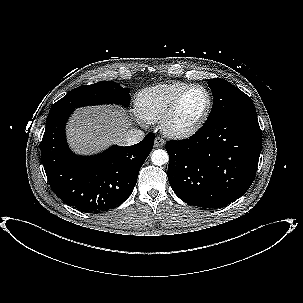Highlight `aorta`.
<instances>
[{
	"label": "aorta",
	"instance_id": "obj_1",
	"mask_svg": "<svg viewBox=\"0 0 303 303\" xmlns=\"http://www.w3.org/2000/svg\"><path fill=\"white\" fill-rule=\"evenodd\" d=\"M169 160L168 153L165 150L157 149L151 154V161L154 165L162 166Z\"/></svg>",
	"mask_w": 303,
	"mask_h": 303
}]
</instances>
